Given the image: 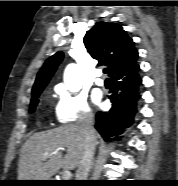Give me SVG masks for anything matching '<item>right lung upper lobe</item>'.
<instances>
[{
	"instance_id": "1",
	"label": "right lung upper lobe",
	"mask_w": 178,
	"mask_h": 186,
	"mask_svg": "<svg viewBox=\"0 0 178 186\" xmlns=\"http://www.w3.org/2000/svg\"><path fill=\"white\" fill-rule=\"evenodd\" d=\"M83 42L91 57L108 67L109 76L138 58L134 42L122 27L115 23L97 22L87 31ZM62 59L63 53L57 52L46 60L37 74L32 95L43 90Z\"/></svg>"
}]
</instances>
